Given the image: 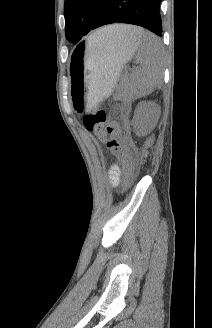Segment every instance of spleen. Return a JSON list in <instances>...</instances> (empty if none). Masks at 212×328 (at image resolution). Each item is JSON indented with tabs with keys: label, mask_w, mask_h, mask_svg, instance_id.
Returning a JSON list of instances; mask_svg holds the SVG:
<instances>
[{
	"label": "spleen",
	"mask_w": 212,
	"mask_h": 328,
	"mask_svg": "<svg viewBox=\"0 0 212 328\" xmlns=\"http://www.w3.org/2000/svg\"><path fill=\"white\" fill-rule=\"evenodd\" d=\"M132 39L138 40L135 62L140 65L132 73L131 81L140 95H147L161 85L164 64L162 46L158 37L142 29L137 30ZM88 41L91 46L102 42L96 32L88 37Z\"/></svg>",
	"instance_id": "spleen-1"
}]
</instances>
